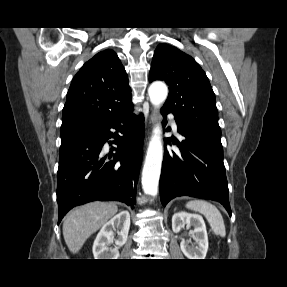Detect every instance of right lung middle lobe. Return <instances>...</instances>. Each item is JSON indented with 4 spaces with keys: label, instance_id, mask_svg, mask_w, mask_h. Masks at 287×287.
Here are the masks:
<instances>
[{
    "label": "right lung middle lobe",
    "instance_id": "right-lung-middle-lobe-1",
    "mask_svg": "<svg viewBox=\"0 0 287 287\" xmlns=\"http://www.w3.org/2000/svg\"><path fill=\"white\" fill-rule=\"evenodd\" d=\"M89 127L90 125L85 124H73V125L62 126L60 129L61 138L74 133L87 131Z\"/></svg>",
    "mask_w": 287,
    "mask_h": 287
}]
</instances>
